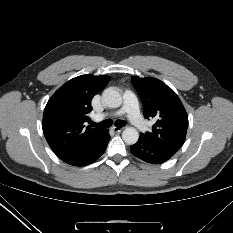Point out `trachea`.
Returning <instances> with one entry per match:
<instances>
[{"label":"trachea","mask_w":233,"mask_h":233,"mask_svg":"<svg viewBox=\"0 0 233 233\" xmlns=\"http://www.w3.org/2000/svg\"><path fill=\"white\" fill-rule=\"evenodd\" d=\"M92 127H99V128H109L112 126V121L110 119H106L99 123L90 122ZM126 125V122L123 120H117L115 121V126L117 127H124Z\"/></svg>","instance_id":"trachea-1"}]
</instances>
